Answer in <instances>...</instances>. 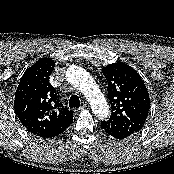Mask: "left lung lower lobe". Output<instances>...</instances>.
I'll use <instances>...</instances> for the list:
<instances>
[{"label":"left lung lower lobe","instance_id":"0a47b994","mask_svg":"<svg viewBox=\"0 0 174 174\" xmlns=\"http://www.w3.org/2000/svg\"><path fill=\"white\" fill-rule=\"evenodd\" d=\"M101 128L103 129V126L101 125ZM108 135L114 137V138H117V139H122V137H118V136H115L114 134L108 132L107 130L103 129Z\"/></svg>","mask_w":174,"mask_h":174}]
</instances>
